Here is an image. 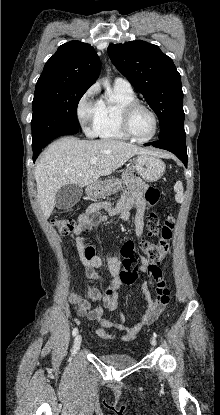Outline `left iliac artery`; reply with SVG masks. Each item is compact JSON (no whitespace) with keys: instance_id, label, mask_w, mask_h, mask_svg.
I'll list each match as a JSON object with an SVG mask.
<instances>
[{"instance_id":"1","label":"left iliac artery","mask_w":220,"mask_h":415,"mask_svg":"<svg viewBox=\"0 0 220 415\" xmlns=\"http://www.w3.org/2000/svg\"><path fill=\"white\" fill-rule=\"evenodd\" d=\"M153 336L156 338V337H157V334L154 332V333H153Z\"/></svg>"}]
</instances>
